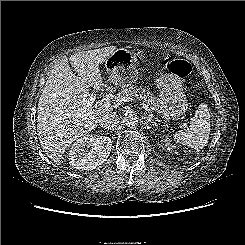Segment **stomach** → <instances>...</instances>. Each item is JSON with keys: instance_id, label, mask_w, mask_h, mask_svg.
<instances>
[{"instance_id": "1", "label": "stomach", "mask_w": 245, "mask_h": 245, "mask_svg": "<svg viewBox=\"0 0 245 245\" xmlns=\"http://www.w3.org/2000/svg\"><path fill=\"white\" fill-rule=\"evenodd\" d=\"M138 57L142 59L143 56ZM136 61L137 57L132 51L126 48L115 50L105 62L109 74L108 81L115 87L121 88L135 83L138 78ZM156 83L160 90L159 113L166 120L181 117L188 107L181 79L173 73H163L156 79Z\"/></svg>"}]
</instances>
